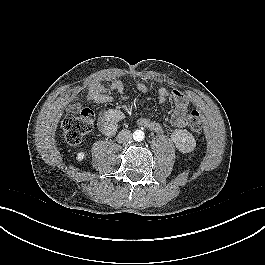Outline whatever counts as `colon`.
<instances>
[{
    "label": "colon",
    "instance_id": "obj_1",
    "mask_svg": "<svg viewBox=\"0 0 265 265\" xmlns=\"http://www.w3.org/2000/svg\"><path fill=\"white\" fill-rule=\"evenodd\" d=\"M93 126L94 114L89 109H83L75 115H67L62 121L64 140L70 145H78ZM187 126L195 134L202 133V116L197 110L190 111Z\"/></svg>",
    "mask_w": 265,
    "mask_h": 265
}]
</instances>
